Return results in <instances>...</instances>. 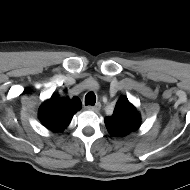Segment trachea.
<instances>
[{"label": "trachea", "mask_w": 190, "mask_h": 190, "mask_svg": "<svg viewBox=\"0 0 190 190\" xmlns=\"http://www.w3.org/2000/svg\"><path fill=\"white\" fill-rule=\"evenodd\" d=\"M96 103V96L93 92H89L85 96V105L94 106Z\"/></svg>", "instance_id": "1"}]
</instances>
